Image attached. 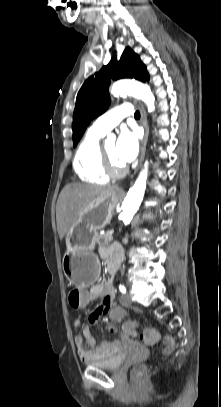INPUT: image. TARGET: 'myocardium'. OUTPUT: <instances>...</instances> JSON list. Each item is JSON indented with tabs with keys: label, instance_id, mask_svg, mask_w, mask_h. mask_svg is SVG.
I'll use <instances>...</instances> for the list:
<instances>
[{
	"label": "myocardium",
	"instance_id": "1",
	"mask_svg": "<svg viewBox=\"0 0 221 407\" xmlns=\"http://www.w3.org/2000/svg\"><path fill=\"white\" fill-rule=\"evenodd\" d=\"M102 167L108 177L117 178L124 175L127 169L123 166L117 167L107 156L105 149H101Z\"/></svg>",
	"mask_w": 221,
	"mask_h": 407
}]
</instances>
